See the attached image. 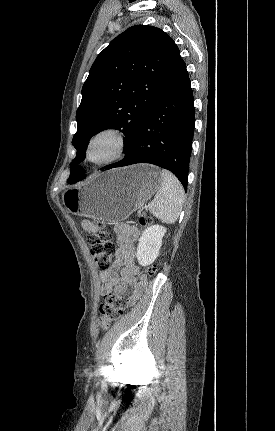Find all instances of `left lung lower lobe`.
I'll return each instance as SVG.
<instances>
[{"mask_svg":"<svg viewBox=\"0 0 275 431\" xmlns=\"http://www.w3.org/2000/svg\"><path fill=\"white\" fill-rule=\"evenodd\" d=\"M194 124L190 79L180 58L124 159L103 169L135 163L154 164L173 172L186 190ZM85 177L79 173L67 182L76 183Z\"/></svg>","mask_w":275,"mask_h":431,"instance_id":"1","label":"left lung lower lobe"}]
</instances>
